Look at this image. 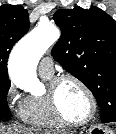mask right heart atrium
Masks as SVG:
<instances>
[{
	"mask_svg": "<svg viewBox=\"0 0 116 134\" xmlns=\"http://www.w3.org/2000/svg\"><path fill=\"white\" fill-rule=\"evenodd\" d=\"M5 95L10 107L21 115L27 105V97L23 96L12 82L8 85Z\"/></svg>",
	"mask_w": 116,
	"mask_h": 134,
	"instance_id": "obj_1",
	"label": "right heart atrium"
}]
</instances>
